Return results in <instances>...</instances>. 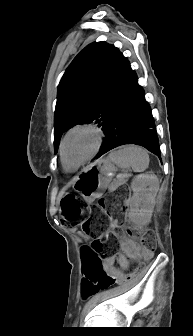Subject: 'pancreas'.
Here are the masks:
<instances>
[{
    "label": "pancreas",
    "instance_id": "cf45deb5",
    "mask_svg": "<svg viewBox=\"0 0 193 336\" xmlns=\"http://www.w3.org/2000/svg\"><path fill=\"white\" fill-rule=\"evenodd\" d=\"M125 182L124 176L117 177L114 184L110 186V191L114 192L116 190V187L123 184Z\"/></svg>",
    "mask_w": 193,
    "mask_h": 336
}]
</instances>
